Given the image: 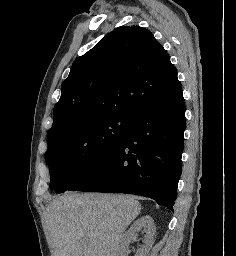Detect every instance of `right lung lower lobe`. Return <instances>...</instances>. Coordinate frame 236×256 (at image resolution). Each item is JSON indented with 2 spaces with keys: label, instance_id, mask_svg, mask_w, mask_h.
<instances>
[{
  "label": "right lung lower lobe",
  "instance_id": "right-lung-lower-lobe-1",
  "mask_svg": "<svg viewBox=\"0 0 236 256\" xmlns=\"http://www.w3.org/2000/svg\"><path fill=\"white\" fill-rule=\"evenodd\" d=\"M185 120L180 86L147 106L118 147L67 190L142 195L173 211L182 172Z\"/></svg>",
  "mask_w": 236,
  "mask_h": 256
}]
</instances>
